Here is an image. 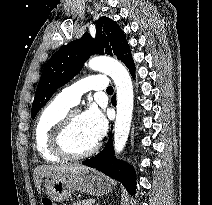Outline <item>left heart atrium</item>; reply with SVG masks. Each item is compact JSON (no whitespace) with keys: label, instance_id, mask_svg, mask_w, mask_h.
Returning <instances> with one entry per match:
<instances>
[{"label":"left heart atrium","instance_id":"obj_1","mask_svg":"<svg viewBox=\"0 0 212 205\" xmlns=\"http://www.w3.org/2000/svg\"><path fill=\"white\" fill-rule=\"evenodd\" d=\"M81 117L86 129L95 141L100 140L105 135L108 125L107 119L98 107H89Z\"/></svg>","mask_w":212,"mask_h":205}]
</instances>
